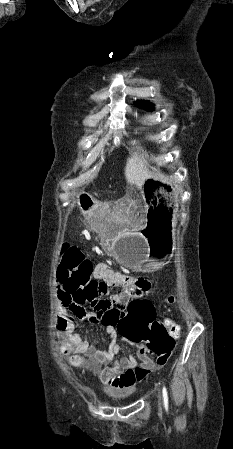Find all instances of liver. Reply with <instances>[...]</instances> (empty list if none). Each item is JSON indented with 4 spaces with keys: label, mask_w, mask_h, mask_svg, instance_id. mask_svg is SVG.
Listing matches in <instances>:
<instances>
[{
    "label": "liver",
    "mask_w": 233,
    "mask_h": 449,
    "mask_svg": "<svg viewBox=\"0 0 233 449\" xmlns=\"http://www.w3.org/2000/svg\"><path fill=\"white\" fill-rule=\"evenodd\" d=\"M124 174L128 184L141 188L144 180L148 177V170L145 166V160L137 153L127 159Z\"/></svg>",
    "instance_id": "1"
}]
</instances>
